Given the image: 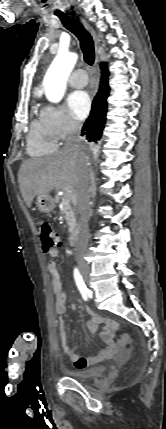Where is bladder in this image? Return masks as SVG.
Instances as JSON below:
<instances>
[{
	"label": "bladder",
	"instance_id": "31cf9c89",
	"mask_svg": "<svg viewBox=\"0 0 166 429\" xmlns=\"http://www.w3.org/2000/svg\"><path fill=\"white\" fill-rule=\"evenodd\" d=\"M106 371V366H97L86 370L71 371L68 373V375L78 381H87L90 379L102 377Z\"/></svg>",
	"mask_w": 166,
	"mask_h": 429
}]
</instances>
